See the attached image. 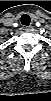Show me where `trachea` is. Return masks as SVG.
<instances>
[{
    "label": "trachea",
    "instance_id": "3493384b",
    "mask_svg": "<svg viewBox=\"0 0 51 101\" xmlns=\"http://www.w3.org/2000/svg\"><path fill=\"white\" fill-rule=\"evenodd\" d=\"M30 22H31V19H30L29 15H27V14L22 15V17H21L22 25L28 26L30 24Z\"/></svg>",
    "mask_w": 51,
    "mask_h": 101
}]
</instances>
